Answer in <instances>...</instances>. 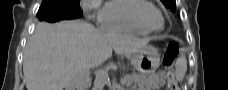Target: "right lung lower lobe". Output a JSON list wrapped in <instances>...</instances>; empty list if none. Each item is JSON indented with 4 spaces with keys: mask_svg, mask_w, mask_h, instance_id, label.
I'll list each match as a JSON object with an SVG mask.
<instances>
[{
    "mask_svg": "<svg viewBox=\"0 0 228 90\" xmlns=\"http://www.w3.org/2000/svg\"><path fill=\"white\" fill-rule=\"evenodd\" d=\"M81 15L79 17H81ZM37 17L41 21L48 22H57L64 19H73V17H70L65 13H62L56 6L52 5L51 3H42L37 13Z\"/></svg>",
    "mask_w": 228,
    "mask_h": 90,
    "instance_id": "98d812e1",
    "label": "right lung lower lobe"
}]
</instances>
